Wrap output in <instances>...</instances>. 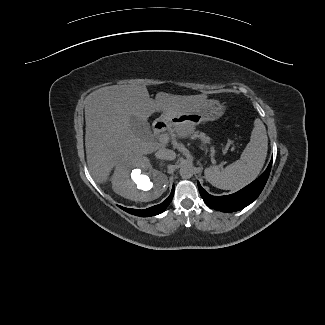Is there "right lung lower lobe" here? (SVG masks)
I'll use <instances>...</instances> for the list:
<instances>
[{"label": "right lung lower lobe", "mask_w": 325, "mask_h": 325, "mask_svg": "<svg viewBox=\"0 0 325 325\" xmlns=\"http://www.w3.org/2000/svg\"><path fill=\"white\" fill-rule=\"evenodd\" d=\"M174 195V186L172 188L171 194L170 196L164 200L161 204L152 206L150 208L144 209V210H137V209H131V208H125V207H121L124 211L136 215V216H140V217H149V216H154L157 214L162 213L169 205V203L171 202L172 198Z\"/></svg>", "instance_id": "obj_1"}]
</instances>
